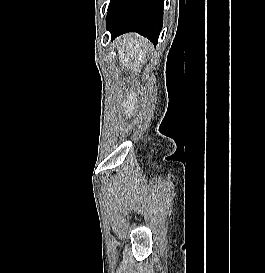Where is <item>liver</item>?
<instances>
[{"label":"liver","instance_id":"liver-1","mask_svg":"<svg viewBox=\"0 0 265 273\" xmlns=\"http://www.w3.org/2000/svg\"><path fill=\"white\" fill-rule=\"evenodd\" d=\"M116 41L120 44V46L118 45L117 47L119 61L123 66H129L133 77V74H136L139 71V68L145 64V57L150 50L151 43L147 39L133 33L123 35ZM137 97L138 94L132 92L128 94L127 98L122 102V107L124 108L123 113L126 117H131L133 115V112L136 109Z\"/></svg>","mask_w":265,"mask_h":273}]
</instances>
